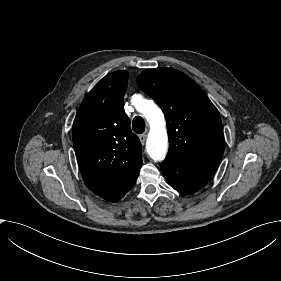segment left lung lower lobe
<instances>
[{"label":"left lung lower lobe","mask_w":281,"mask_h":281,"mask_svg":"<svg viewBox=\"0 0 281 281\" xmlns=\"http://www.w3.org/2000/svg\"><path fill=\"white\" fill-rule=\"evenodd\" d=\"M161 169L171 187L183 194L201 189L216 171V168L187 167L169 160L161 163Z\"/></svg>","instance_id":"1"}]
</instances>
